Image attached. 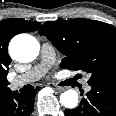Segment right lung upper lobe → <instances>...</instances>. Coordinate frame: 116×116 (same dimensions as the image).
Wrapping results in <instances>:
<instances>
[{
    "mask_svg": "<svg viewBox=\"0 0 116 116\" xmlns=\"http://www.w3.org/2000/svg\"><path fill=\"white\" fill-rule=\"evenodd\" d=\"M39 22H31L17 18L0 21V97L11 89L8 87L7 74L11 58L8 55V44L11 38L19 33L36 31Z\"/></svg>",
    "mask_w": 116,
    "mask_h": 116,
    "instance_id": "obj_1",
    "label": "right lung upper lobe"
}]
</instances>
